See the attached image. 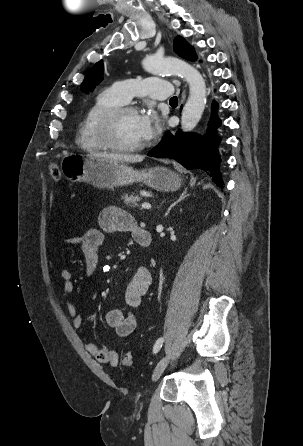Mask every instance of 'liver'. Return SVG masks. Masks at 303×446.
<instances>
[{
  "instance_id": "liver-1",
  "label": "liver",
  "mask_w": 303,
  "mask_h": 446,
  "mask_svg": "<svg viewBox=\"0 0 303 446\" xmlns=\"http://www.w3.org/2000/svg\"><path fill=\"white\" fill-rule=\"evenodd\" d=\"M91 158H95L98 160H104L107 162L114 163H123V162H131L137 163L144 160V156L142 155H128V154H108V153H91L89 155Z\"/></svg>"
}]
</instances>
